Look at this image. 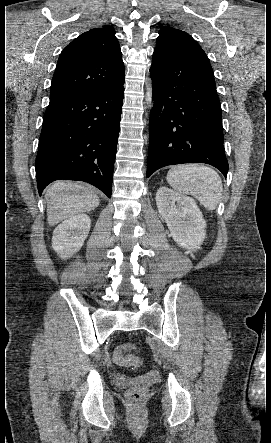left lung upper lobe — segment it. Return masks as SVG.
Segmentation results:
<instances>
[{
  "mask_svg": "<svg viewBox=\"0 0 271 443\" xmlns=\"http://www.w3.org/2000/svg\"><path fill=\"white\" fill-rule=\"evenodd\" d=\"M155 50L192 57L209 62L200 45L186 32L172 27H162Z\"/></svg>",
  "mask_w": 271,
  "mask_h": 443,
  "instance_id": "5c2ea615",
  "label": "left lung upper lobe"
}]
</instances>
